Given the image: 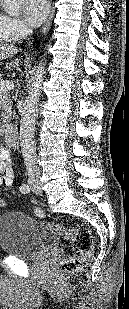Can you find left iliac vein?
I'll return each mask as SVG.
<instances>
[{
	"instance_id": "obj_1",
	"label": "left iliac vein",
	"mask_w": 129,
	"mask_h": 309,
	"mask_svg": "<svg viewBox=\"0 0 129 309\" xmlns=\"http://www.w3.org/2000/svg\"><path fill=\"white\" fill-rule=\"evenodd\" d=\"M31 190L35 194H41L42 193V188H41L37 179L33 180V182L31 183Z\"/></svg>"
}]
</instances>
